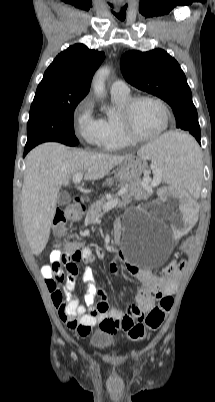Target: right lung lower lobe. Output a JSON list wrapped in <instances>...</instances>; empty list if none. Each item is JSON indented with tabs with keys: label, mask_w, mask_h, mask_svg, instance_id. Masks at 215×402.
Returning a JSON list of instances; mask_svg holds the SVG:
<instances>
[{
	"label": "right lung lower lobe",
	"mask_w": 215,
	"mask_h": 402,
	"mask_svg": "<svg viewBox=\"0 0 215 402\" xmlns=\"http://www.w3.org/2000/svg\"><path fill=\"white\" fill-rule=\"evenodd\" d=\"M32 148L25 147L24 156L31 150Z\"/></svg>",
	"instance_id": "obj_1"
}]
</instances>
